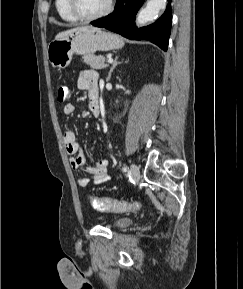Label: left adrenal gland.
<instances>
[{
  "label": "left adrenal gland",
  "mask_w": 243,
  "mask_h": 289,
  "mask_svg": "<svg viewBox=\"0 0 243 289\" xmlns=\"http://www.w3.org/2000/svg\"><path fill=\"white\" fill-rule=\"evenodd\" d=\"M121 62H118V56H116L115 57V60H114V62H113V64H112V67H111V69H110V71H109V73H108V78H107V80H109L110 78H111V74H112V72H113V70L115 69V67L118 65V64H120Z\"/></svg>",
  "instance_id": "left-adrenal-gland-1"
}]
</instances>
